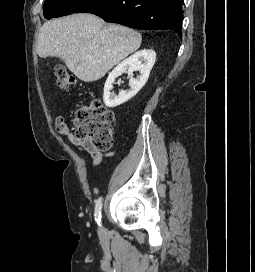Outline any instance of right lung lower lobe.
<instances>
[{"instance_id": "98d812e1", "label": "right lung lower lobe", "mask_w": 255, "mask_h": 272, "mask_svg": "<svg viewBox=\"0 0 255 272\" xmlns=\"http://www.w3.org/2000/svg\"><path fill=\"white\" fill-rule=\"evenodd\" d=\"M75 13L143 30H173L182 38V0H90Z\"/></svg>"}]
</instances>
